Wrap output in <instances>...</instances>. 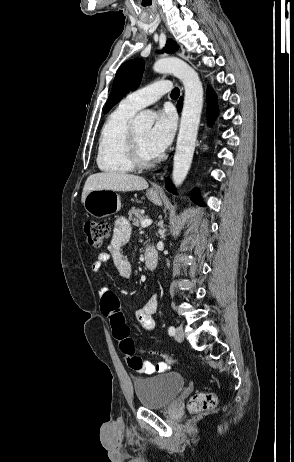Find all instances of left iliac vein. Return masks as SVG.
Returning a JSON list of instances; mask_svg holds the SVG:
<instances>
[{
	"label": "left iliac vein",
	"instance_id": "4c4485c4",
	"mask_svg": "<svg viewBox=\"0 0 294 462\" xmlns=\"http://www.w3.org/2000/svg\"><path fill=\"white\" fill-rule=\"evenodd\" d=\"M174 338L177 342H183L184 340V333H183V328L181 326H178L176 328V332L174 335Z\"/></svg>",
	"mask_w": 294,
	"mask_h": 462
}]
</instances>
